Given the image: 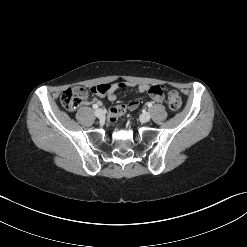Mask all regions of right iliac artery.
<instances>
[{"label":"right iliac artery","mask_w":247,"mask_h":247,"mask_svg":"<svg viewBox=\"0 0 247 247\" xmlns=\"http://www.w3.org/2000/svg\"><path fill=\"white\" fill-rule=\"evenodd\" d=\"M93 108H94V109H97V108H98V105H97V104H94V105H93Z\"/></svg>","instance_id":"obj_1"}]
</instances>
